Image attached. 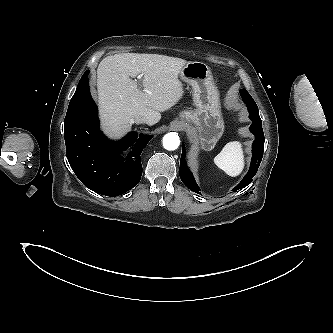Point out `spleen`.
<instances>
[{
	"label": "spleen",
	"mask_w": 333,
	"mask_h": 333,
	"mask_svg": "<svg viewBox=\"0 0 333 333\" xmlns=\"http://www.w3.org/2000/svg\"><path fill=\"white\" fill-rule=\"evenodd\" d=\"M214 163L229 176H238L244 168V155L241 143L238 141L227 143L214 158Z\"/></svg>",
	"instance_id": "1"
}]
</instances>
